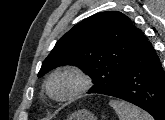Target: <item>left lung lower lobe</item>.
<instances>
[{
	"label": "left lung lower lobe",
	"instance_id": "obj_1",
	"mask_svg": "<svg viewBox=\"0 0 165 120\" xmlns=\"http://www.w3.org/2000/svg\"><path fill=\"white\" fill-rule=\"evenodd\" d=\"M107 95L139 106L155 120H165V72L145 36L130 54L120 85Z\"/></svg>",
	"mask_w": 165,
	"mask_h": 120
}]
</instances>
